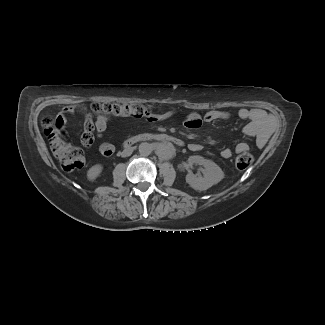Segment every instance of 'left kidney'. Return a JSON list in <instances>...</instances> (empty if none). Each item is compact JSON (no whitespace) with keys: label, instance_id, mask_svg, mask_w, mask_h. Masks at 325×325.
<instances>
[{"label":"left kidney","instance_id":"5707ae66","mask_svg":"<svg viewBox=\"0 0 325 325\" xmlns=\"http://www.w3.org/2000/svg\"><path fill=\"white\" fill-rule=\"evenodd\" d=\"M188 165H202L205 168L203 177L196 176L191 171L186 175V182L197 191H204L216 185L224 178V172L213 161L195 155L188 158Z\"/></svg>","mask_w":325,"mask_h":325}]
</instances>
